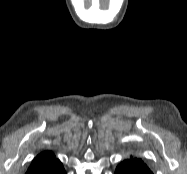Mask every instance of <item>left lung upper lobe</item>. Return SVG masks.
I'll list each match as a JSON object with an SVG mask.
<instances>
[{
  "label": "left lung upper lobe",
  "mask_w": 187,
  "mask_h": 174,
  "mask_svg": "<svg viewBox=\"0 0 187 174\" xmlns=\"http://www.w3.org/2000/svg\"><path fill=\"white\" fill-rule=\"evenodd\" d=\"M122 164L127 165L129 167H147L142 161V159L133 156H131L130 159L125 160Z\"/></svg>",
  "instance_id": "obj_1"
}]
</instances>
